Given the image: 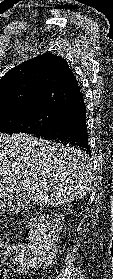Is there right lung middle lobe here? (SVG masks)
Masks as SVG:
<instances>
[{"label": "right lung middle lobe", "instance_id": "dd1d6c3e", "mask_svg": "<svg viewBox=\"0 0 113 279\" xmlns=\"http://www.w3.org/2000/svg\"><path fill=\"white\" fill-rule=\"evenodd\" d=\"M66 110L54 107H23L0 109V133H32L49 124L56 123Z\"/></svg>", "mask_w": 113, "mask_h": 279}]
</instances>
